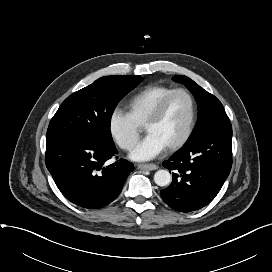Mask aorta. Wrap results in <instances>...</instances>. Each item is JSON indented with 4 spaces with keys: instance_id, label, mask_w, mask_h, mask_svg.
Instances as JSON below:
<instances>
[{
    "instance_id": "obj_1",
    "label": "aorta",
    "mask_w": 272,
    "mask_h": 272,
    "mask_svg": "<svg viewBox=\"0 0 272 272\" xmlns=\"http://www.w3.org/2000/svg\"><path fill=\"white\" fill-rule=\"evenodd\" d=\"M171 174L167 170H158L154 175V181L158 186H167L171 182Z\"/></svg>"
}]
</instances>
